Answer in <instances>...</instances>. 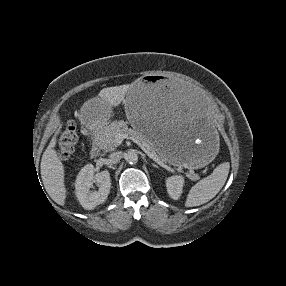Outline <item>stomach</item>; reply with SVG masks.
<instances>
[{"label": "stomach", "mask_w": 286, "mask_h": 286, "mask_svg": "<svg viewBox=\"0 0 286 286\" xmlns=\"http://www.w3.org/2000/svg\"><path fill=\"white\" fill-rule=\"evenodd\" d=\"M125 112L132 128L142 133L156 152L174 166L197 169L215 157L219 135L211 123L213 99L177 77L152 73L137 79L126 95ZM112 108L93 96L79 107L80 122L89 130H102Z\"/></svg>", "instance_id": "obj_1"}]
</instances>
